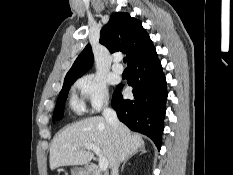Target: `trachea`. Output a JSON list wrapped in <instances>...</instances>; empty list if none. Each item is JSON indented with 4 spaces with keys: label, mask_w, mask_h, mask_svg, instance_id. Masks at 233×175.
<instances>
[{
    "label": "trachea",
    "mask_w": 233,
    "mask_h": 175,
    "mask_svg": "<svg viewBox=\"0 0 233 175\" xmlns=\"http://www.w3.org/2000/svg\"><path fill=\"white\" fill-rule=\"evenodd\" d=\"M123 62L124 63H126L127 62V58L125 57V58H123Z\"/></svg>",
    "instance_id": "trachea-1"
}]
</instances>
